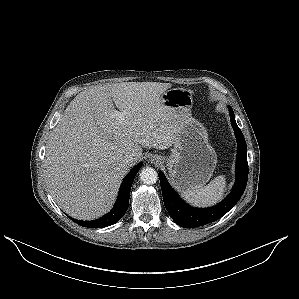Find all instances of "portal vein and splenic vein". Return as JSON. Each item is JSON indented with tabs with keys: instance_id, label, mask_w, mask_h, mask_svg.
Wrapping results in <instances>:
<instances>
[{
	"instance_id": "18ae733b",
	"label": "portal vein and splenic vein",
	"mask_w": 299,
	"mask_h": 299,
	"mask_svg": "<svg viewBox=\"0 0 299 299\" xmlns=\"http://www.w3.org/2000/svg\"><path fill=\"white\" fill-rule=\"evenodd\" d=\"M116 116H117L118 118L122 119V114H121L120 112H118V111H116Z\"/></svg>"
}]
</instances>
